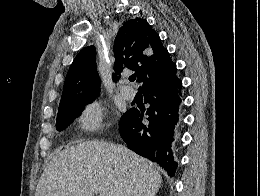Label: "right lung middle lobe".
I'll return each instance as SVG.
<instances>
[{
    "label": "right lung middle lobe",
    "instance_id": "1",
    "mask_svg": "<svg viewBox=\"0 0 260 196\" xmlns=\"http://www.w3.org/2000/svg\"><path fill=\"white\" fill-rule=\"evenodd\" d=\"M98 96L99 94H95V95L78 99L72 102L64 109L59 110L57 114V120H56V129L58 131H62L66 129V127L69 124H71L72 121L80 114V110H82L83 107L86 106L87 104L92 103Z\"/></svg>",
    "mask_w": 260,
    "mask_h": 196
}]
</instances>
